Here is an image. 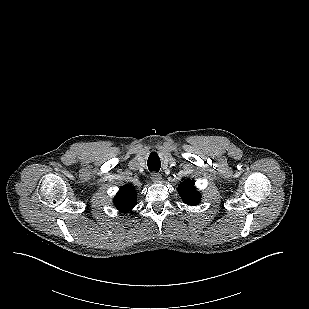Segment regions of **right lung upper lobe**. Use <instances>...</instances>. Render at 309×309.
I'll return each mask as SVG.
<instances>
[{"label": "right lung upper lobe", "mask_w": 309, "mask_h": 309, "mask_svg": "<svg viewBox=\"0 0 309 309\" xmlns=\"http://www.w3.org/2000/svg\"><path fill=\"white\" fill-rule=\"evenodd\" d=\"M137 203L136 193L129 185L121 187L114 198V204L122 213L131 211Z\"/></svg>", "instance_id": "obj_1"}]
</instances>
